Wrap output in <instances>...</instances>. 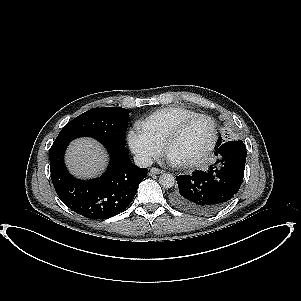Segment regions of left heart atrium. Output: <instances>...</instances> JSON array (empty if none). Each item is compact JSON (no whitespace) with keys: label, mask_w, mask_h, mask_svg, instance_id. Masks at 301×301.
<instances>
[{"label":"left heart atrium","mask_w":301,"mask_h":301,"mask_svg":"<svg viewBox=\"0 0 301 301\" xmlns=\"http://www.w3.org/2000/svg\"><path fill=\"white\" fill-rule=\"evenodd\" d=\"M167 161L173 166H183L185 163L171 153L167 154Z\"/></svg>","instance_id":"39dd6f15"}]
</instances>
